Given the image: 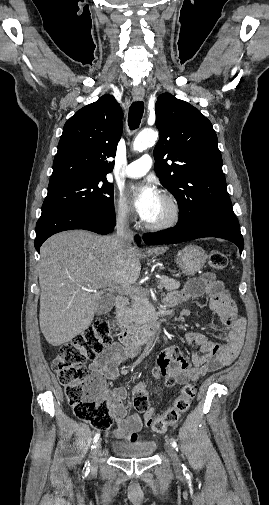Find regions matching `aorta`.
<instances>
[{"instance_id": "obj_1", "label": "aorta", "mask_w": 269, "mask_h": 505, "mask_svg": "<svg viewBox=\"0 0 269 505\" xmlns=\"http://www.w3.org/2000/svg\"><path fill=\"white\" fill-rule=\"evenodd\" d=\"M158 133L153 129L142 130L133 142L134 151H143L152 146L157 140Z\"/></svg>"}]
</instances>
